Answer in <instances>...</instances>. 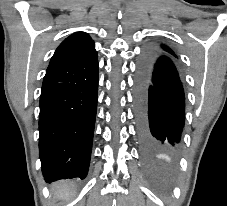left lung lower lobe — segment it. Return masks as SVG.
<instances>
[{
  "instance_id": "left-lung-lower-lobe-1",
  "label": "left lung lower lobe",
  "mask_w": 227,
  "mask_h": 206,
  "mask_svg": "<svg viewBox=\"0 0 227 206\" xmlns=\"http://www.w3.org/2000/svg\"><path fill=\"white\" fill-rule=\"evenodd\" d=\"M134 98L137 137L143 149L176 153L185 121V97L172 57L153 49L144 53Z\"/></svg>"
}]
</instances>
